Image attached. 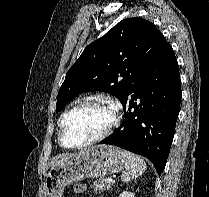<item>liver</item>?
<instances>
[{
    "label": "liver",
    "instance_id": "6515ba94",
    "mask_svg": "<svg viewBox=\"0 0 209 197\" xmlns=\"http://www.w3.org/2000/svg\"><path fill=\"white\" fill-rule=\"evenodd\" d=\"M68 159H69L68 157H63L61 160L56 161V162L53 164L52 168L55 167L56 165L62 163V162H65V161L68 160Z\"/></svg>",
    "mask_w": 209,
    "mask_h": 197
}]
</instances>
